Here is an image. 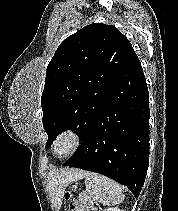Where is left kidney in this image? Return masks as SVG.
Returning <instances> with one entry per match:
<instances>
[{
	"instance_id": "obj_1",
	"label": "left kidney",
	"mask_w": 178,
	"mask_h": 211,
	"mask_svg": "<svg viewBox=\"0 0 178 211\" xmlns=\"http://www.w3.org/2000/svg\"><path fill=\"white\" fill-rule=\"evenodd\" d=\"M104 211H125V210H120L119 208L114 207V208L105 209Z\"/></svg>"
}]
</instances>
